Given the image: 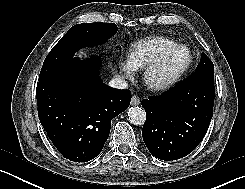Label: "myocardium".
<instances>
[{
	"instance_id": "myocardium-1",
	"label": "myocardium",
	"mask_w": 245,
	"mask_h": 189,
	"mask_svg": "<svg viewBox=\"0 0 245 189\" xmlns=\"http://www.w3.org/2000/svg\"><path fill=\"white\" fill-rule=\"evenodd\" d=\"M177 49H185L188 53L187 63L171 78L162 82H154L151 79L152 73L161 66L166 57ZM193 53L190 48L185 44H173L163 49L151 62H149L143 72V80L147 87L153 91H163L173 87L177 84L190 70L193 64Z\"/></svg>"
}]
</instances>
